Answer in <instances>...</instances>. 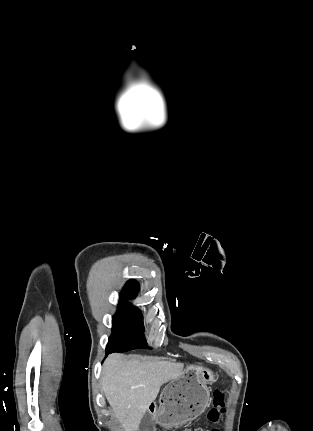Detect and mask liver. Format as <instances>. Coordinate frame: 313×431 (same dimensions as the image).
<instances>
[{"label":"liver","mask_w":313,"mask_h":431,"mask_svg":"<svg viewBox=\"0 0 313 431\" xmlns=\"http://www.w3.org/2000/svg\"><path fill=\"white\" fill-rule=\"evenodd\" d=\"M182 363L111 354L101 384L106 399L125 431H137L150 404L166 382L183 374Z\"/></svg>","instance_id":"6515ba94"}]
</instances>
